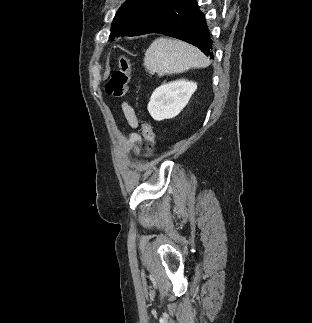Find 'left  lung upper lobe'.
Returning <instances> with one entry per match:
<instances>
[{"label":"left lung upper lobe","mask_w":312,"mask_h":323,"mask_svg":"<svg viewBox=\"0 0 312 323\" xmlns=\"http://www.w3.org/2000/svg\"><path fill=\"white\" fill-rule=\"evenodd\" d=\"M173 0H126L119 8L109 38L148 33L170 11Z\"/></svg>","instance_id":"5c2ea615"}]
</instances>
